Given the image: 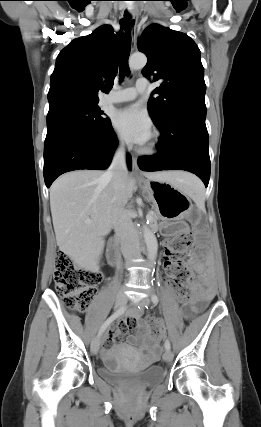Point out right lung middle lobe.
I'll return each mask as SVG.
<instances>
[{
  "mask_svg": "<svg viewBox=\"0 0 261 427\" xmlns=\"http://www.w3.org/2000/svg\"><path fill=\"white\" fill-rule=\"evenodd\" d=\"M95 105L69 104L49 109L47 129L58 125H74L88 130H100L111 125Z\"/></svg>",
  "mask_w": 261,
  "mask_h": 427,
  "instance_id": "right-lung-middle-lobe-1",
  "label": "right lung middle lobe"
}]
</instances>
